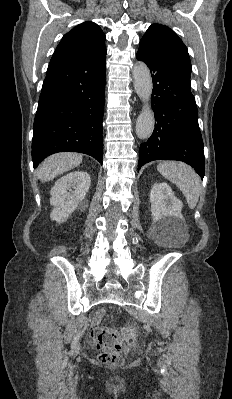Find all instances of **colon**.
Here are the masks:
<instances>
[{"label":"colon","instance_id":"obj_1","mask_svg":"<svg viewBox=\"0 0 232 399\" xmlns=\"http://www.w3.org/2000/svg\"><path fill=\"white\" fill-rule=\"evenodd\" d=\"M139 327L138 321H131L130 326H97L92 330V341H95V347L102 365H124V358H115V353H131L134 334Z\"/></svg>","mask_w":232,"mask_h":399}]
</instances>
